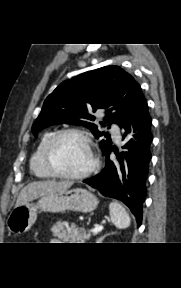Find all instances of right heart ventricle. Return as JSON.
Masks as SVG:
<instances>
[{
	"instance_id": "e07e8e85",
	"label": "right heart ventricle",
	"mask_w": 181,
	"mask_h": 288,
	"mask_svg": "<svg viewBox=\"0 0 181 288\" xmlns=\"http://www.w3.org/2000/svg\"><path fill=\"white\" fill-rule=\"evenodd\" d=\"M55 133L52 131L46 132L41 138L30 159V169L32 173L39 179H53L56 176L46 167L44 161V152L48 142Z\"/></svg>"
}]
</instances>
